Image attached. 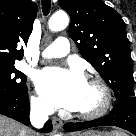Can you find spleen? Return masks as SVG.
<instances>
[{
    "label": "spleen",
    "instance_id": "spleen-1",
    "mask_svg": "<svg viewBox=\"0 0 136 136\" xmlns=\"http://www.w3.org/2000/svg\"><path fill=\"white\" fill-rule=\"evenodd\" d=\"M111 136H125V135L116 131V132H113Z\"/></svg>",
    "mask_w": 136,
    "mask_h": 136
}]
</instances>
